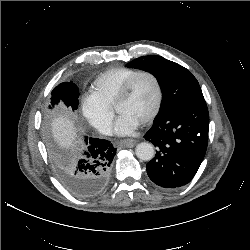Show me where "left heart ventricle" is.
<instances>
[{
	"instance_id": "1",
	"label": "left heart ventricle",
	"mask_w": 250,
	"mask_h": 250,
	"mask_svg": "<svg viewBox=\"0 0 250 250\" xmlns=\"http://www.w3.org/2000/svg\"><path fill=\"white\" fill-rule=\"evenodd\" d=\"M155 105V84L149 76H142L135 83L127 100L118 106L117 111L140 124L152 113Z\"/></svg>"
}]
</instances>
